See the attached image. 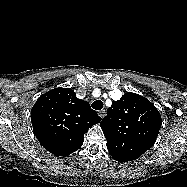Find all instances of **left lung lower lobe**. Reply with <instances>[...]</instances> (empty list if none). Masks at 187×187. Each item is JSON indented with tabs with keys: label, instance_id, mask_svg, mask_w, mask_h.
Listing matches in <instances>:
<instances>
[{
	"label": "left lung lower lobe",
	"instance_id": "1",
	"mask_svg": "<svg viewBox=\"0 0 187 187\" xmlns=\"http://www.w3.org/2000/svg\"><path fill=\"white\" fill-rule=\"evenodd\" d=\"M113 157L114 160L120 162V163H123L124 161L119 159L118 157L114 156V155H111Z\"/></svg>",
	"mask_w": 187,
	"mask_h": 187
}]
</instances>
